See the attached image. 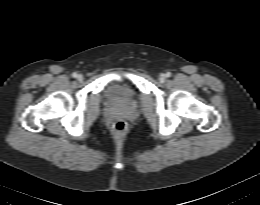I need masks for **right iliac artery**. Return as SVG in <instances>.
Wrapping results in <instances>:
<instances>
[{"label": "right iliac artery", "mask_w": 260, "mask_h": 205, "mask_svg": "<svg viewBox=\"0 0 260 205\" xmlns=\"http://www.w3.org/2000/svg\"><path fill=\"white\" fill-rule=\"evenodd\" d=\"M72 77L76 78V77H77V73L74 72V73L72 74Z\"/></svg>", "instance_id": "obj_1"}]
</instances>
